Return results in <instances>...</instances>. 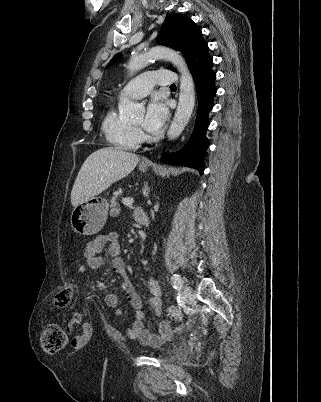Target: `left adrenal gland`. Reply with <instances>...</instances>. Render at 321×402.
Wrapping results in <instances>:
<instances>
[{
    "label": "left adrenal gland",
    "instance_id": "1",
    "mask_svg": "<svg viewBox=\"0 0 321 402\" xmlns=\"http://www.w3.org/2000/svg\"><path fill=\"white\" fill-rule=\"evenodd\" d=\"M149 192H150V188L148 187L147 183H145V184H144V187H143V195H144L145 197H148Z\"/></svg>",
    "mask_w": 321,
    "mask_h": 402
}]
</instances>
